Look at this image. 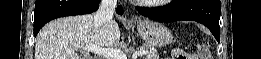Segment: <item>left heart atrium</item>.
<instances>
[{"instance_id": "39dd6f15", "label": "left heart atrium", "mask_w": 261, "mask_h": 59, "mask_svg": "<svg viewBox=\"0 0 261 59\" xmlns=\"http://www.w3.org/2000/svg\"><path fill=\"white\" fill-rule=\"evenodd\" d=\"M138 2L140 3H159V2H162V1H153V0H137Z\"/></svg>"}]
</instances>
